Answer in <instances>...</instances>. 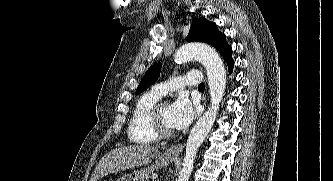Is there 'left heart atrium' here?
<instances>
[{
	"label": "left heart atrium",
	"instance_id": "39dd6f15",
	"mask_svg": "<svg viewBox=\"0 0 333 181\" xmlns=\"http://www.w3.org/2000/svg\"><path fill=\"white\" fill-rule=\"evenodd\" d=\"M195 115L194 105L185 96H180L171 105V124L175 129L186 128Z\"/></svg>",
	"mask_w": 333,
	"mask_h": 181
}]
</instances>
